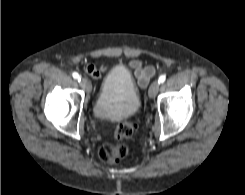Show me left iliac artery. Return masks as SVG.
<instances>
[{
  "label": "left iliac artery",
  "instance_id": "left-iliac-artery-1",
  "mask_svg": "<svg viewBox=\"0 0 245 195\" xmlns=\"http://www.w3.org/2000/svg\"><path fill=\"white\" fill-rule=\"evenodd\" d=\"M166 80V76L165 75H161L158 79L159 83H163Z\"/></svg>",
  "mask_w": 245,
  "mask_h": 195
}]
</instances>
